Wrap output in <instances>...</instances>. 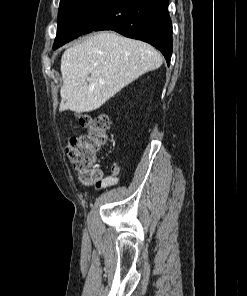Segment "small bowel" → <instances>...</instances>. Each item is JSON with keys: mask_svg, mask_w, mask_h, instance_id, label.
<instances>
[{"mask_svg": "<svg viewBox=\"0 0 247 296\" xmlns=\"http://www.w3.org/2000/svg\"><path fill=\"white\" fill-rule=\"evenodd\" d=\"M118 180L115 177H108L104 180L102 187H111L117 185Z\"/></svg>", "mask_w": 247, "mask_h": 296, "instance_id": "c3829d8e", "label": "small bowel"}]
</instances>
